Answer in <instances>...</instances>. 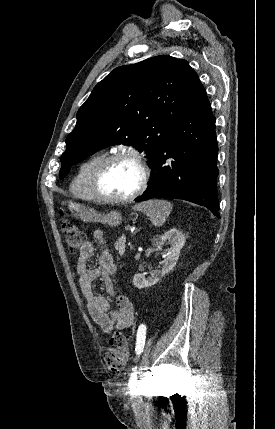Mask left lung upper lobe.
Masks as SVG:
<instances>
[{
  "label": "left lung upper lobe",
  "mask_w": 275,
  "mask_h": 429,
  "mask_svg": "<svg viewBox=\"0 0 275 429\" xmlns=\"http://www.w3.org/2000/svg\"><path fill=\"white\" fill-rule=\"evenodd\" d=\"M198 81L186 60L167 55L114 69L79 108L59 176L117 144L135 146L150 165L189 105Z\"/></svg>",
  "instance_id": "1"
}]
</instances>
